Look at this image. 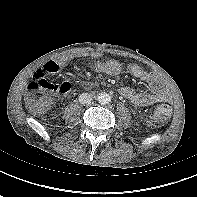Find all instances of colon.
<instances>
[{"label":"colon","mask_w":197,"mask_h":197,"mask_svg":"<svg viewBox=\"0 0 197 197\" xmlns=\"http://www.w3.org/2000/svg\"><path fill=\"white\" fill-rule=\"evenodd\" d=\"M71 88L70 83H52L45 78H35L29 84L28 106L36 113H43L49 107L51 99L49 93L66 94ZM172 109L167 104L155 108L153 116L158 121H167L171 117Z\"/></svg>","instance_id":"1"}]
</instances>
